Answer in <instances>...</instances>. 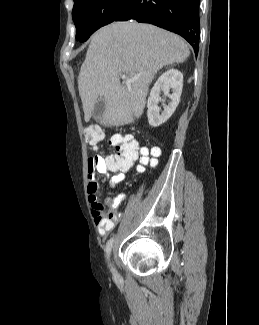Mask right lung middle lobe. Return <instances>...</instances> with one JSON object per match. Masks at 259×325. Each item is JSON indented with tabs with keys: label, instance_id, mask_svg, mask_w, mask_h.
Returning <instances> with one entry per match:
<instances>
[{
	"label": "right lung middle lobe",
	"instance_id": "right-lung-middle-lobe-1",
	"mask_svg": "<svg viewBox=\"0 0 259 325\" xmlns=\"http://www.w3.org/2000/svg\"><path fill=\"white\" fill-rule=\"evenodd\" d=\"M127 0H74L72 18L76 40L86 41L100 27L113 22Z\"/></svg>",
	"mask_w": 259,
	"mask_h": 325
}]
</instances>
